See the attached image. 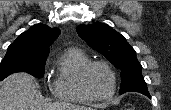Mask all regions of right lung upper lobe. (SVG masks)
I'll list each match as a JSON object with an SVG mask.
<instances>
[{
	"instance_id": "1",
	"label": "right lung upper lobe",
	"mask_w": 171,
	"mask_h": 110,
	"mask_svg": "<svg viewBox=\"0 0 171 110\" xmlns=\"http://www.w3.org/2000/svg\"><path fill=\"white\" fill-rule=\"evenodd\" d=\"M58 28H50L44 24H36L23 32L8 47L29 55H48L49 47L59 36Z\"/></svg>"
}]
</instances>
